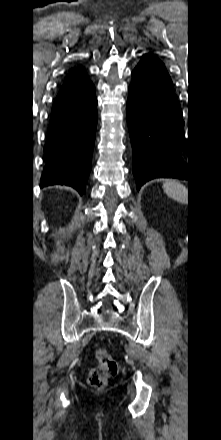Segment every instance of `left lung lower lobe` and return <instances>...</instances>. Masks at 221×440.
Wrapping results in <instances>:
<instances>
[{
  "label": "left lung lower lobe",
  "mask_w": 221,
  "mask_h": 440,
  "mask_svg": "<svg viewBox=\"0 0 221 440\" xmlns=\"http://www.w3.org/2000/svg\"><path fill=\"white\" fill-rule=\"evenodd\" d=\"M127 122L138 190L154 178L190 179L182 158V110L164 64L153 55H143L132 72Z\"/></svg>",
  "instance_id": "obj_1"
}]
</instances>
